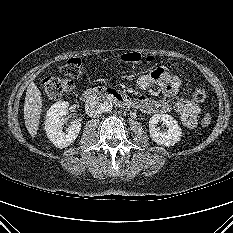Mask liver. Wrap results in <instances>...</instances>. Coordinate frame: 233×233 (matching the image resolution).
I'll return each instance as SVG.
<instances>
[{"label":"liver","mask_w":233,"mask_h":233,"mask_svg":"<svg viewBox=\"0 0 233 233\" xmlns=\"http://www.w3.org/2000/svg\"><path fill=\"white\" fill-rule=\"evenodd\" d=\"M42 105L41 92L32 82L27 88L24 103L25 126L32 137L36 136L39 129Z\"/></svg>","instance_id":"6515ba94"}]
</instances>
